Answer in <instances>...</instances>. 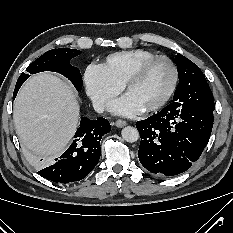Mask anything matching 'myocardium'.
I'll return each mask as SVG.
<instances>
[{
  "instance_id": "obj_1",
  "label": "myocardium",
  "mask_w": 233,
  "mask_h": 233,
  "mask_svg": "<svg viewBox=\"0 0 233 233\" xmlns=\"http://www.w3.org/2000/svg\"><path fill=\"white\" fill-rule=\"evenodd\" d=\"M159 60H164L166 62H168V64L170 65L171 69H172V81L171 84L168 88V90L166 91V93L163 95V97L157 101L156 103L150 105L149 107L143 109V111L145 112H153L156 111L160 108H162L172 97L173 93L176 90L177 84H178V80H179V73H178V69L176 64L174 63V61L169 58L168 56L165 55H157L154 56L152 58H149L145 61H143L142 63H140L130 74L129 76L126 78L123 87L125 92L127 93L129 88L131 87V85L133 83H135L136 81H138L142 75L144 74V72L147 70V68L153 64L156 61Z\"/></svg>"
}]
</instances>
